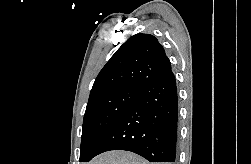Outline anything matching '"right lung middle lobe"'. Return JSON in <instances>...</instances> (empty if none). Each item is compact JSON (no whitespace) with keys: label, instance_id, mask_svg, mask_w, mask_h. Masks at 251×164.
I'll list each match as a JSON object with an SVG mask.
<instances>
[{"label":"right lung middle lobe","instance_id":"obj_1","mask_svg":"<svg viewBox=\"0 0 251 164\" xmlns=\"http://www.w3.org/2000/svg\"><path fill=\"white\" fill-rule=\"evenodd\" d=\"M139 91L136 87H122L88 101L83 120L80 162L87 160L100 138L136 101Z\"/></svg>","mask_w":251,"mask_h":164}]
</instances>
